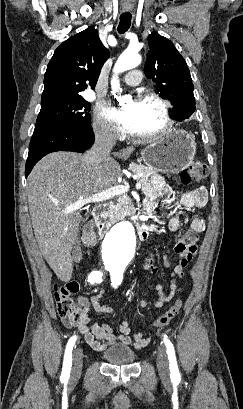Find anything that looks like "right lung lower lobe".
I'll use <instances>...</instances> for the list:
<instances>
[{"mask_svg":"<svg viewBox=\"0 0 243 409\" xmlns=\"http://www.w3.org/2000/svg\"><path fill=\"white\" fill-rule=\"evenodd\" d=\"M94 139V133L91 127L83 130H75L48 124L36 125L25 166L26 177L34 165L48 153L56 151L82 153L92 146Z\"/></svg>","mask_w":243,"mask_h":409,"instance_id":"98d812e1","label":"right lung lower lobe"}]
</instances>
